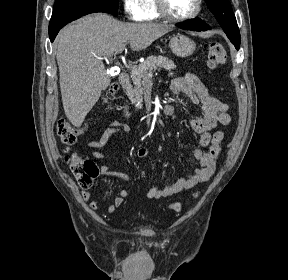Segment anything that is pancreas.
<instances>
[{"label": "pancreas", "mask_w": 288, "mask_h": 280, "mask_svg": "<svg viewBox=\"0 0 288 280\" xmlns=\"http://www.w3.org/2000/svg\"><path fill=\"white\" fill-rule=\"evenodd\" d=\"M172 70L176 68L174 62L164 56H150L143 63L135 67L131 79L133 86L127 89V96L137 109H142L144 86L151 81V75L157 69Z\"/></svg>", "instance_id": "obj_1"}]
</instances>
